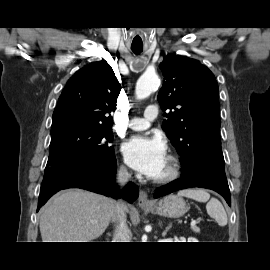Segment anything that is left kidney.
<instances>
[{"instance_id": "1", "label": "left kidney", "mask_w": 270, "mask_h": 270, "mask_svg": "<svg viewBox=\"0 0 270 270\" xmlns=\"http://www.w3.org/2000/svg\"><path fill=\"white\" fill-rule=\"evenodd\" d=\"M192 242H198L196 239L194 238H191Z\"/></svg>"}]
</instances>
